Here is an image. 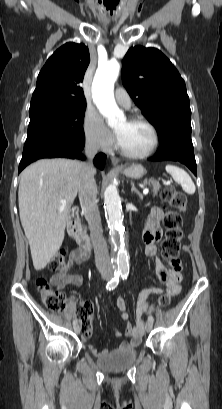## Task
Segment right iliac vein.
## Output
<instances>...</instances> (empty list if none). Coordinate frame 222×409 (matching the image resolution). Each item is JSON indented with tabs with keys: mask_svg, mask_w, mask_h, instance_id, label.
Returning <instances> with one entry per match:
<instances>
[{
	"mask_svg": "<svg viewBox=\"0 0 222 409\" xmlns=\"http://www.w3.org/2000/svg\"><path fill=\"white\" fill-rule=\"evenodd\" d=\"M104 278H107L106 276H104ZM74 331L76 332V333H79L80 332V326L79 325H74Z\"/></svg>",
	"mask_w": 222,
	"mask_h": 409,
	"instance_id": "right-iliac-vein-1",
	"label": "right iliac vein"
}]
</instances>
